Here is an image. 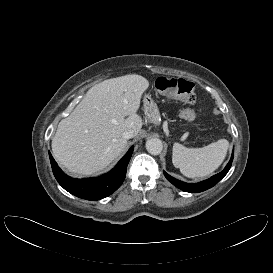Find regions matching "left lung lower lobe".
<instances>
[{"label": "left lung lower lobe", "mask_w": 273, "mask_h": 273, "mask_svg": "<svg viewBox=\"0 0 273 273\" xmlns=\"http://www.w3.org/2000/svg\"><path fill=\"white\" fill-rule=\"evenodd\" d=\"M232 160H233V153H232L229 163L226 165L225 169L222 172L212 176L211 178H209L207 180H204V181L196 183V184H188V183L182 182L180 180H177V179L173 178L172 176H170L169 174H167L165 171H164V175L173 185H175L179 189H181L185 192L198 193V192L205 191V190L213 187L214 185H216L229 171L231 164H232Z\"/></svg>", "instance_id": "obj_1"}]
</instances>
